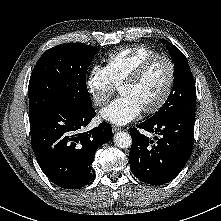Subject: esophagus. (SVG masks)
I'll return each mask as SVG.
<instances>
[{"label":"esophagus","mask_w":221,"mask_h":221,"mask_svg":"<svg viewBox=\"0 0 221 221\" xmlns=\"http://www.w3.org/2000/svg\"><path fill=\"white\" fill-rule=\"evenodd\" d=\"M112 130H113V132H118V131H121L122 128L119 126H116V125H112Z\"/></svg>","instance_id":"obj_1"}]
</instances>
